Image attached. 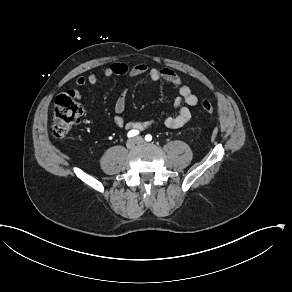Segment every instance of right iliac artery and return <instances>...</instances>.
Masks as SVG:
<instances>
[{
  "mask_svg": "<svg viewBox=\"0 0 292 292\" xmlns=\"http://www.w3.org/2000/svg\"><path fill=\"white\" fill-rule=\"evenodd\" d=\"M139 134V131L138 130H130L127 134V136L130 138V137H134L136 135Z\"/></svg>",
  "mask_w": 292,
  "mask_h": 292,
  "instance_id": "82829eb1",
  "label": "right iliac artery"
}]
</instances>
